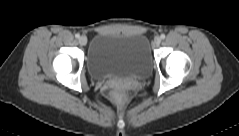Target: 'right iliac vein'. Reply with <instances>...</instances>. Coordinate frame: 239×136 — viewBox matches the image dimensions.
<instances>
[{"mask_svg":"<svg viewBox=\"0 0 239 136\" xmlns=\"http://www.w3.org/2000/svg\"><path fill=\"white\" fill-rule=\"evenodd\" d=\"M79 43L80 45L85 46L87 44V38L85 36H81L79 38Z\"/></svg>","mask_w":239,"mask_h":136,"instance_id":"right-iliac-vein-1","label":"right iliac vein"}]
</instances>
